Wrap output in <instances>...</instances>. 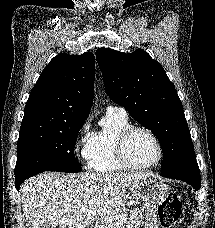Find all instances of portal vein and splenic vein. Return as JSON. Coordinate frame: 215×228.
Listing matches in <instances>:
<instances>
[{"label": "portal vein and splenic vein", "mask_w": 215, "mask_h": 228, "mask_svg": "<svg viewBox=\"0 0 215 228\" xmlns=\"http://www.w3.org/2000/svg\"><path fill=\"white\" fill-rule=\"evenodd\" d=\"M88 204L89 206H95L96 202H94V200H89Z\"/></svg>", "instance_id": "1"}]
</instances>
